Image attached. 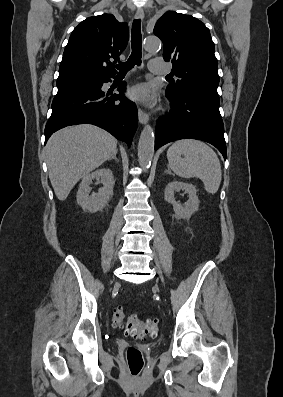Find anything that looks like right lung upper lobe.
Returning <instances> with one entry per match:
<instances>
[{
	"label": "right lung upper lobe",
	"instance_id": "cb5924a9",
	"mask_svg": "<svg viewBox=\"0 0 283 397\" xmlns=\"http://www.w3.org/2000/svg\"><path fill=\"white\" fill-rule=\"evenodd\" d=\"M128 25L112 14L89 17L70 35L59 67L57 81L101 80L114 77L113 63L128 43Z\"/></svg>",
	"mask_w": 283,
	"mask_h": 397
}]
</instances>
